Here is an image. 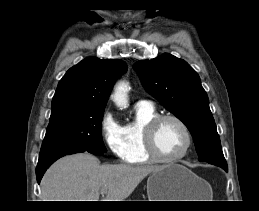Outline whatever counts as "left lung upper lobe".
I'll use <instances>...</instances> for the list:
<instances>
[{"label":"left lung upper lobe","instance_id":"5c2ea615","mask_svg":"<svg viewBox=\"0 0 259 211\" xmlns=\"http://www.w3.org/2000/svg\"><path fill=\"white\" fill-rule=\"evenodd\" d=\"M134 68L146 91L189 129L199 161L227 167L208 96L194 69L168 53L138 61Z\"/></svg>","mask_w":259,"mask_h":211}]
</instances>
